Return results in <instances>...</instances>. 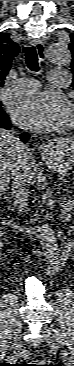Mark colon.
Returning a JSON list of instances; mask_svg holds the SVG:
<instances>
[{"instance_id":"5ec220e1","label":"colon","mask_w":74,"mask_h":366,"mask_svg":"<svg viewBox=\"0 0 74 366\" xmlns=\"http://www.w3.org/2000/svg\"><path fill=\"white\" fill-rule=\"evenodd\" d=\"M25 366H52L50 363L46 362V361H35L31 364H25Z\"/></svg>"}]
</instances>
